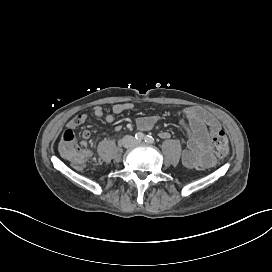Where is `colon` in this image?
Instances as JSON below:
<instances>
[{"instance_id":"5ec220e1","label":"colon","mask_w":272,"mask_h":272,"mask_svg":"<svg viewBox=\"0 0 272 272\" xmlns=\"http://www.w3.org/2000/svg\"><path fill=\"white\" fill-rule=\"evenodd\" d=\"M211 146L215 158H225L229 150L226 133L224 131L216 132L211 140ZM59 153L62 160L72 163L77 169L82 168L85 158L83 157L81 149L78 147V133L76 129L72 127L63 129Z\"/></svg>"}]
</instances>
